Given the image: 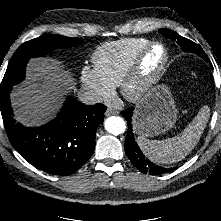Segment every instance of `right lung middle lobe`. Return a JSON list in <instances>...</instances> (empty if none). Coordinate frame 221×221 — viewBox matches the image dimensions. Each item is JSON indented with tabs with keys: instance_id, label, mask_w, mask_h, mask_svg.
<instances>
[{
	"instance_id": "right-lung-middle-lobe-1",
	"label": "right lung middle lobe",
	"mask_w": 221,
	"mask_h": 221,
	"mask_svg": "<svg viewBox=\"0 0 221 221\" xmlns=\"http://www.w3.org/2000/svg\"><path fill=\"white\" fill-rule=\"evenodd\" d=\"M81 42L80 38L50 34L23 43L8 64L1 89L13 86L24 79L26 64L30 58L41 56L53 49L73 47Z\"/></svg>"
}]
</instances>
